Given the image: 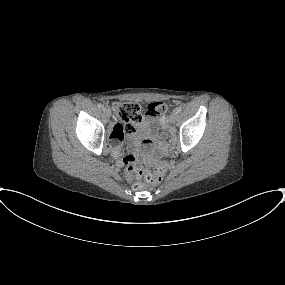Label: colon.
I'll return each mask as SVG.
<instances>
[{
  "instance_id": "1",
  "label": "colon",
  "mask_w": 285,
  "mask_h": 285,
  "mask_svg": "<svg viewBox=\"0 0 285 285\" xmlns=\"http://www.w3.org/2000/svg\"><path fill=\"white\" fill-rule=\"evenodd\" d=\"M114 111L121 129L126 133L133 132L135 126L141 124L148 115L156 117L161 123L166 122L167 108L162 102L150 103L145 112L137 102H120L114 105ZM123 163L138 179H143L147 183L154 185L159 184L163 180L168 169V164L166 162H161L152 169L136 170L134 166L135 158L132 155L125 156L123 158ZM141 185V182L137 180L134 182L133 186L135 189H138Z\"/></svg>"
}]
</instances>
